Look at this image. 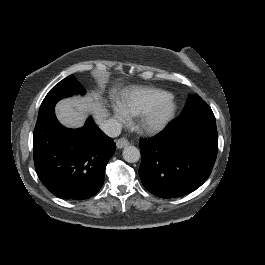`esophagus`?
<instances>
[{
  "label": "esophagus",
  "instance_id": "obj_1",
  "mask_svg": "<svg viewBox=\"0 0 265 265\" xmlns=\"http://www.w3.org/2000/svg\"><path fill=\"white\" fill-rule=\"evenodd\" d=\"M117 148L121 149L129 145V142L125 138H120L116 142Z\"/></svg>",
  "mask_w": 265,
  "mask_h": 265
}]
</instances>
